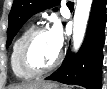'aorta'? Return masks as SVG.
Returning a JSON list of instances; mask_svg holds the SVG:
<instances>
[{"instance_id":"aorta-1","label":"aorta","mask_w":107,"mask_h":89,"mask_svg":"<svg viewBox=\"0 0 107 89\" xmlns=\"http://www.w3.org/2000/svg\"><path fill=\"white\" fill-rule=\"evenodd\" d=\"M92 0H77L73 19V47L77 51L84 39Z\"/></svg>"}]
</instances>
